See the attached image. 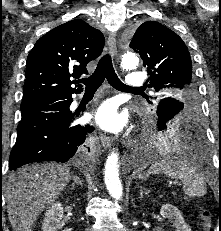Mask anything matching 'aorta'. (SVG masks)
<instances>
[{
  "label": "aorta",
  "mask_w": 221,
  "mask_h": 231,
  "mask_svg": "<svg viewBox=\"0 0 221 231\" xmlns=\"http://www.w3.org/2000/svg\"><path fill=\"white\" fill-rule=\"evenodd\" d=\"M139 64L137 55L131 51L126 50L121 59V67L123 69L132 70ZM104 179L107 190L112 198L120 200L122 198V184L119 179V156L118 153L112 151L106 160Z\"/></svg>",
  "instance_id": "762f6f07"
}]
</instances>
